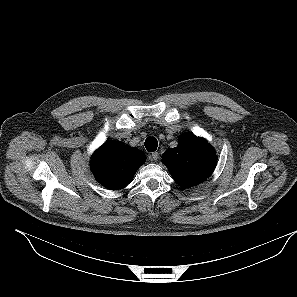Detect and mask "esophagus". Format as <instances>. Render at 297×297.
<instances>
[{
	"mask_svg": "<svg viewBox=\"0 0 297 297\" xmlns=\"http://www.w3.org/2000/svg\"><path fill=\"white\" fill-rule=\"evenodd\" d=\"M158 158H159V153H158V152H153V153L151 154V160H153V161H157Z\"/></svg>",
	"mask_w": 297,
	"mask_h": 297,
	"instance_id": "obj_1",
	"label": "esophagus"
}]
</instances>
